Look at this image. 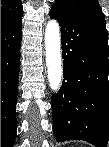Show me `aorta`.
<instances>
[{
  "instance_id": "1",
  "label": "aorta",
  "mask_w": 109,
  "mask_h": 147,
  "mask_svg": "<svg viewBox=\"0 0 109 147\" xmlns=\"http://www.w3.org/2000/svg\"><path fill=\"white\" fill-rule=\"evenodd\" d=\"M60 28L56 20H50L45 30L46 64L49 85L53 91H58L62 80Z\"/></svg>"
}]
</instances>
